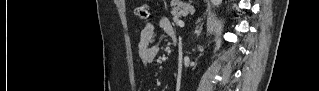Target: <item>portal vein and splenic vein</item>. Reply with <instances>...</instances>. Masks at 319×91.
Segmentation results:
<instances>
[{
  "label": "portal vein and splenic vein",
  "instance_id": "1",
  "mask_svg": "<svg viewBox=\"0 0 319 91\" xmlns=\"http://www.w3.org/2000/svg\"><path fill=\"white\" fill-rule=\"evenodd\" d=\"M177 25H178L179 27H184V22L178 21V22H177Z\"/></svg>",
  "mask_w": 319,
  "mask_h": 91
}]
</instances>
